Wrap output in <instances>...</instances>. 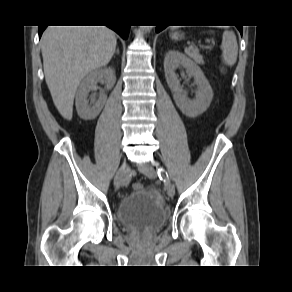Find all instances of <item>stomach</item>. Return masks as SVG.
<instances>
[{
	"label": "stomach",
	"mask_w": 292,
	"mask_h": 292,
	"mask_svg": "<svg viewBox=\"0 0 292 292\" xmlns=\"http://www.w3.org/2000/svg\"><path fill=\"white\" fill-rule=\"evenodd\" d=\"M171 36L173 39H178L179 37H181V35L179 33H172Z\"/></svg>",
	"instance_id": "1"
}]
</instances>
